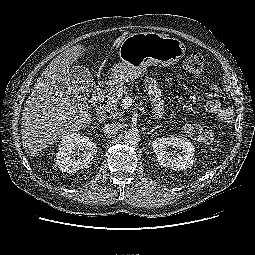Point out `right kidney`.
Returning <instances> with one entry per match:
<instances>
[{
  "label": "right kidney",
  "instance_id": "ca27d5eb",
  "mask_svg": "<svg viewBox=\"0 0 255 255\" xmlns=\"http://www.w3.org/2000/svg\"><path fill=\"white\" fill-rule=\"evenodd\" d=\"M82 150V154L76 150ZM55 161L62 172L74 173L86 168L96 155V144L91 142L89 137L79 133L66 135L58 149Z\"/></svg>",
  "mask_w": 255,
  "mask_h": 255
}]
</instances>
